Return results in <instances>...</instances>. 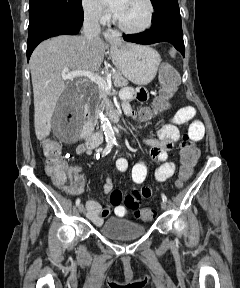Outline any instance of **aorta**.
Returning a JSON list of instances; mask_svg holds the SVG:
<instances>
[{
	"instance_id": "aorta-1",
	"label": "aorta",
	"mask_w": 240,
	"mask_h": 288,
	"mask_svg": "<svg viewBox=\"0 0 240 288\" xmlns=\"http://www.w3.org/2000/svg\"><path fill=\"white\" fill-rule=\"evenodd\" d=\"M99 118H100L101 127L104 132L106 140L107 141L115 140V132L106 114H104L103 112H100Z\"/></svg>"
}]
</instances>
